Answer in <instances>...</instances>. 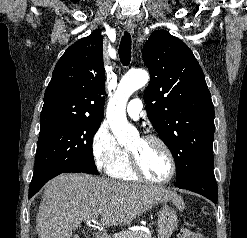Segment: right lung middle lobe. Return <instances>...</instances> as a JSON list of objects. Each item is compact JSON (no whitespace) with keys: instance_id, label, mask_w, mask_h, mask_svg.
<instances>
[{"instance_id":"1","label":"right lung middle lobe","mask_w":247,"mask_h":238,"mask_svg":"<svg viewBox=\"0 0 247 238\" xmlns=\"http://www.w3.org/2000/svg\"><path fill=\"white\" fill-rule=\"evenodd\" d=\"M100 121L82 120L40 127L30 186L57 172L99 174L94 165L92 141Z\"/></svg>"}]
</instances>
